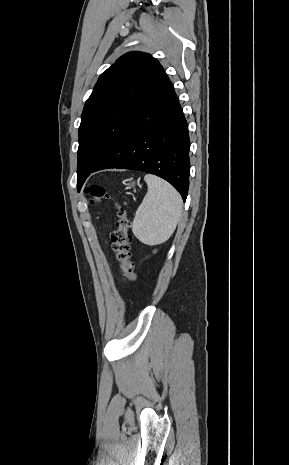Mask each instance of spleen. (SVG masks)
I'll return each mask as SVG.
<instances>
[{"mask_svg":"<svg viewBox=\"0 0 289 465\" xmlns=\"http://www.w3.org/2000/svg\"><path fill=\"white\" fill-rule=\"evenodd\" d=\"M144 180L148 191L136 211L132 232L142 243L157 245L167 241L175 231L182 198L172 185L155 175L147 174Z\"/></svg>","mask_w":289,"mask_h":465,"instance_id":"obj_1","label":"spleen"}]
</instances>
